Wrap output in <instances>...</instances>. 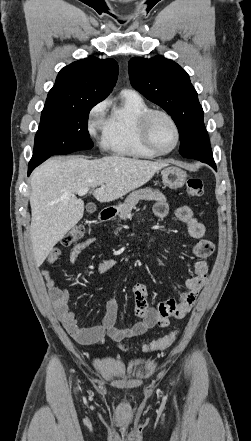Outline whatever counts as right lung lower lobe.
<instances>
[{
  "mask_svg": "<svg viewBox=\"0 0 251 441\" xmlns=\"http://www.w3.org/2000/svg\"><path fill=\"white\" fill-rule=\"evenodd\" d=\"M48 158H49L48 156H36V155H33L32 159L29 162L28 175H30V173L32 172V170L35 167H37L39 164H41L42 162H44Z\"/></svg>",
  "mask_w": 251,
  "mask_h": 441,
  "instance_id": "98d812e1",
  "label": "right lung lower lobe"
}]
</instances>
